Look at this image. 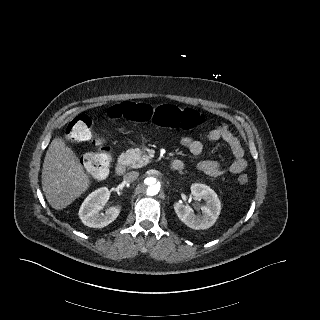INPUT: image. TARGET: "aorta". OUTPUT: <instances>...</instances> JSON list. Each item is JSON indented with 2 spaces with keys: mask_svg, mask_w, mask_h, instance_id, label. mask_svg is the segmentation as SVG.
<instances>
[{
  "mask_svg": "<svg viewBox=\"0 0 320 320\" xmlns=\"http://www.w3.org/2000/svg\"><path fill=\"white\" fill-rule=\"evenodd\" d=\"M142 186L148 196H155L160 192V183L153 176H145L142 179Z\"/></svg>",
  "mask_w": 320,
  "mask_h": 320,
  "instance_id": "obj_1",
  "label": "aorta"
}]
</instances>
